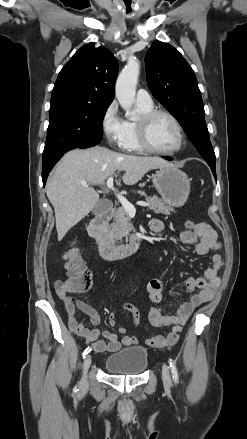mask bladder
I'll use <instances>...</instances> for the list:
<instances>
[{"mask_svg": "<svg viewBox=\"0 0 247 439\" xmlns=\"http://www.w3.org/2000/svg\"><path fill=\"white\" fill-rule=\"evenodd\" d=\"M148 366V352L144 347L132 346L106 357L105 369L116 375H139Z\"/></svg>", "mask_w": 247, "mask_h": 439, "instance_id": "obj_1", "label": "bladder"}]
</instances>
